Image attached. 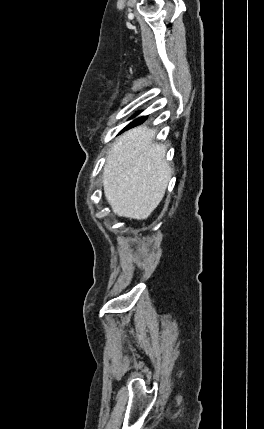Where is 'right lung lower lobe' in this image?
Masks as SVG:
<instances>
[{"instance_id": "1", "label": "right lung lower lobe", "mask_w": 264, "mask_h": 429, "mask_svg": "<svg viewBox=\"0 0 264 429\" xmlns=\"http://www.w3.org/2000/svg\"><path fill=\"white\" fill-rule=\"evenodd\" d=\"M142 122H143V121H139V122L133 123V124L129 125L126 129L131 128V127H133V126H136V125H138V124H141Z\"/></svg>"}]
</instances>
